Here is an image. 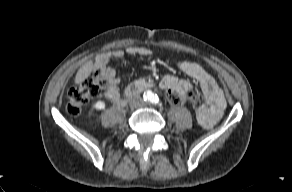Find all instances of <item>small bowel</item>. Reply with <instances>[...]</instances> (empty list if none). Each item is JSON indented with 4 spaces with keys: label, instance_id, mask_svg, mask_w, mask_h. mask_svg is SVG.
I'll return each mask as SVG.
<instances>
[{
    "label": "small bowel",
    "instance_id": "obj_1",
    "mask_svg": "<svg viewBox=\"0 0 292 192\" xmlns=\"http://www.w3.org/2000/svg\"><path fill=\"white\" fill-rule=\"evenodd\" d=\"M125 54L130 56H150L152 51L147 47L131 46L126 50L111 51L99 58L94 64L95 69L101 72L108 81V86L104 92L105 98L118 105L124 104V96L119 88L121 78L115 69L108 65V61L110 59H120ZM177 66L185 75L198 82L205 97V103L195 108L199 124L204 128L214 126L221 118L226 107L224 93L219 88L215 79L199 64L190 61H180L177 63ZM160 85L166 90L167 95L170 93L183 95L192 89L189 81L171 75L163 77Z\"/></svg>",
    "mask_w": 292,
    "mask_h": 192
}]
</instances>
